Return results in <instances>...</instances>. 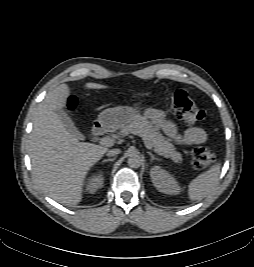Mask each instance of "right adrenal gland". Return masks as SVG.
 <instances>
[{
  "instance_id": "1",
  "label": "right adrenal gland",
  "mask_w": 254,
  "mask_h": 267,
  "mask_svg": "<svg viewBox=\"0 0 254 267\" xmlns=\"http://www.w3.org/2000/svg\"><path fill=\"white\" fill-rule=\"evenodd\" d=\"M115 159H116V157L108 158V159H104L102 162L105 163V162H108V161H114Z\"/></svg>"
}]
</instances>
